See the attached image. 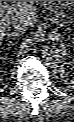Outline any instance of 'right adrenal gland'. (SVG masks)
<instances>
[{
    "label": "right adrenal gland",
    "instance_id": "1",
    "mask_svg": "<svg viewBox=\"0 0 74 122\" xmlns=\"http://www.w3.org/2000/svg\"><path fill=\"white\" fill-rule=\"evenodd\" d=\"M20 33H21V32H19V31H18V32H12V33H7V34H6V37H7L8 39H9L10 37H14V36H17V37H18V36H20Z\"/></svg>",
    "mask_w": 74,
    "mask_h": 122
}]
</instances>
